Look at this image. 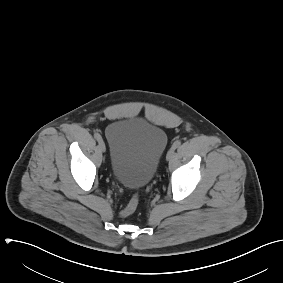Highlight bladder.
Masks as SVG:
<instances>
[{
    "label": "bladder",
    "instance_id": "1",
    "mask_svg": "<svg viewBox=\"0 0 283 283\" xmlns=\"http://www.w3.org/2000/svg\"><path fill=\"white\" fill-rule=\"evenodd\" d=\"M105 134L115 180L132 189L147 186L167 147L165 130L145 119L130 118L110 123Z\"/></svg>",
    "mask_w": 283,
    "mask_h": 283
}]
</instances>
